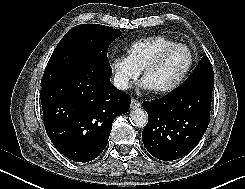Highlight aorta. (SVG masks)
Masks as SVG:
<instances>
[{
    "label": "aorta",
    "instance_id": "762f6f07",
    "mask_svg": "<svg viewBox=\"0 0 245 189\" xmlns=\"http://www.w3.org/2000/svg\"><path fill=\"white\" fill-rule=\"evenodd\" d=\"M130 119L134 126L145 127L148 121V115L145 110L137 108L130 113Z\"/></svg>",
    "mask_w": 245,
    "mask_h": 189
}]
</instances>
